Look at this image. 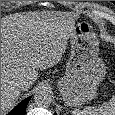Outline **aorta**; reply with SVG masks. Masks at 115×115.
Returning a JSON list of instances; mask_svg holds the SVG:
<instances>
[{
  "instance_id": "1",
  "label": "aorta",
  "mask_w": 115,
  "mask_h": 115,
  "mask_svg": "<svg viewBox=\"0 0 115 115\" xmlns=\"http://www.w3.org/2000/svg\"><path fill=\"white\" fill-rule=\"evenodd\" d=\"M34 102L38 106L47 107L51 105L52 97L48 90L41 89L35 94Z\"/></svg>"
}]
</instances>
